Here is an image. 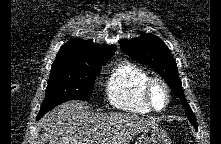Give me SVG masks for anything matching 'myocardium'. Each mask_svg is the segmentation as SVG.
Returning a JSON list of instances; mask_svg holds the SVG:
<instances>
[{
    "label": "myocardium",
    "instance_id": "1",
    "mask_svg": "<svg viewBox=\"0 0 221 144\" xmlns=\"http://www.w3.org/2000/svg\"><path fill=\"white\" fill-rule=\"evenodd\" d=\"M156 85H160L163 88V90L165 91L166 102L162 108L155 107V105L153 103L152 92H153V88ZM143 94H144V100H145L146 104L154 112H162V111L166 110L167 107L169 106V103L171 100V91H170V88H169L168 84L166 83V81H164L162 78L150 77L144 85Z\"/></svg>",
    "mask_w": 221,
    "mask_h": 144
}]
</instances>
